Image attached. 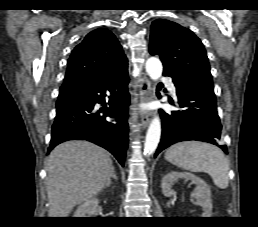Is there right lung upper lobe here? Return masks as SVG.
Returning a JSON list of instances; mask_svg holds the SVG:
<instances>
[{
  "label": "right lung upper lobe",
  "mask_w": 258,
  "mask_h": 227,
  "mask_svg": "<svg viewBox=\"0 0 258 227\" xmlns=\"http://www.w3.org/2000/svg\"><path fill=\"white\" fill-rule=\"evenodd\" d=\"M127 58L112 32L98 28L86 35L68 60L64 83L84 78H105L127 68Z\"/></svg>",
  "instance_id": "cb5924a9"
}]
</instances>
